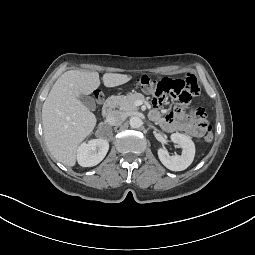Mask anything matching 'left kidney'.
<instances>
[{"label": "left kidney", "mask_w": 255, "mask_h": 255, "mask_svg": "<svg viewBox=\"0 0 255 255\" xmlns=\"http://www.w3.org/2000/svg\"><path fill=\"white\" fill-rule=\"evenodd\" d=\"M171 141L182 148L181 155L170 156L168 151L162 148L158 149V157L161 163L172 171H182L191 165L195 156V145L193 141L181 133L171 134Z\"/></svg>", "instance_id": "1"}]
</instances>
